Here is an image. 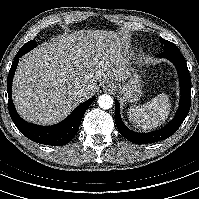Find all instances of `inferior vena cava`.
I'll use <instances>...</instances> for the list:
<instances>
[{
	"mask_svg": "<svg viewBox=\"0 0 199 199\" xmlns=\"http://www.w3.org/2000/svg\"><path fill=\"white\" fill-rule=\"evenodd\" d=\"M84 94H85V87H83V86H78V87L75 89L74 95H75L76 97H82Z\"/></svg>",
	"mask_w": 199,
	"mask_h": 199,
	"instance_id": "obj_1",
	"label": "inferior vena cava"
}]
</instances>
